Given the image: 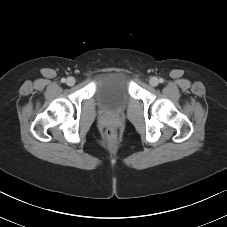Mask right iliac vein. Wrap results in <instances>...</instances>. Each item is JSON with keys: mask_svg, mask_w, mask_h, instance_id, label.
Listing matches in <instances>:
<instances>
[{"mask_svg": "<svg viewBox=\"0 0 227 227\" xmlns=\"http://www.w3.org/2000/svg\"><path fill=\"white\" fill-rule=\"evenodd\" d=\"M66 84L69 86H73L75 84V78L74 77H68L66 80Z\"/></svg>", "mask_w": 227, "mask_h": 227, "instance_id": "right-iliac-vein-1", "label": "right iliac vein"}]
</instances>
